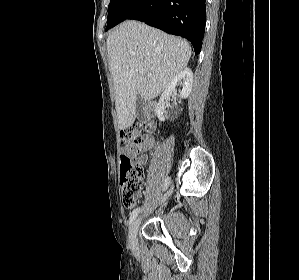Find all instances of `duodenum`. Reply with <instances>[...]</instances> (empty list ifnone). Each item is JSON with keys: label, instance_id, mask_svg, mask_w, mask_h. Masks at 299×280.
<instances>
[{"label": "duodenum", "instance_id": "410a0bca", "mask_svg": "<svg viewBox=\"0 0 299 280\" xmlns=\"http://www.w3.org/2000/svg\"><path fill=\"white\" fill-rule=\"evenodd\" d=\"M154 112H155V103L152 102L147 106V117L149 120L153 117Z\"/></svg>", "mask_w": 299, "mask_h": 280}]
</instances>
